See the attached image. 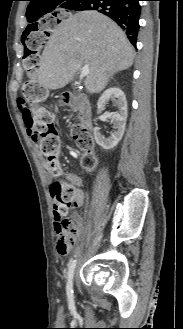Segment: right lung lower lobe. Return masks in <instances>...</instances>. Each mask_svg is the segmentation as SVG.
Instances as JSON below:
<instances>
[{"mask_svg":"<svg viewBox=\"0 0 183 329\" xmlns=\"http://www.w3.org/2000/svg\"><path fill=\"white\" fill-rule=\"evenodd\" d=\"M73 1V0H72ZM140 0H74L69 10H95L113 19L127 34L130 42L136 46L141 14Z\"/></svg>","mask_w":183,"mask_h":329,"instance_id":"right-lung-lower-lobe-1","label":"right lung lower lobe"}]
</instances>
